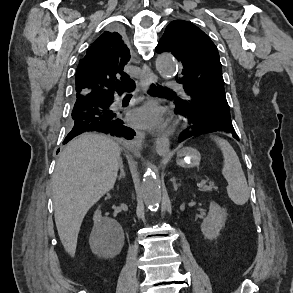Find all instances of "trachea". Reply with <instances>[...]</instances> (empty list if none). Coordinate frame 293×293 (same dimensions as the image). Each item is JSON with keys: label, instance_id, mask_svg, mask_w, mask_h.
I'll return each instance as SVG.
<instances>
[{"label": "trachea", "instance_id": "1", "mask_svg": "<svg viewBox=\"0 0 293 293\" xmlns=\"http://www.w3.org/2000/svg\"><path fill=\"white\" fill-rule=\"evenodd\" d=\"M152 88V93H173L172 91L167 90L163 87H156L154 84H152Z\"/></svg>", "mask_w": 293, "mask_h": 293}]
</instances>
